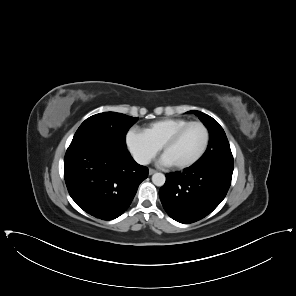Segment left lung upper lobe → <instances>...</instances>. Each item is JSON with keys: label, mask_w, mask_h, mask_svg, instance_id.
Masks as SVG:
<instances>
[{"label": "left lung upper lobe", "mask_w": 296, "mask_h": 296, "mask_svg": "<svg viewBox=\"0 0 296 296\" xmlns=\"http://www.w3.org/2000/svg\"><path fill=\"white\" fill-rule=\"evenodd\" d=\"M188 113L197 115L210 134L208 148L196 163L199 165H209L220 161H233L229 142L220 124L209 115L200 111H189Z\"/></svg>", "instance_id": "obj_1"}]
</instances>
